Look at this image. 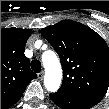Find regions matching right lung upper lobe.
<instances>
[{
    "mask_svg": "<svg viewBox=\"0 0 109 109\" xmlns=\"http://www.w3.org/2000/svg\"><path fill=\"white\" fill-rule=\"evenodd\" d=\"M30 35V29L13 27L1 30V109L14 105L29 82L37 77L24 55Z\"/></svg>",
    "mask_w": 109,
    "mask_h": 109,
    "instance_id": "cb5924a9",
    "label": "right lung upper lobe"
}]
</instances>
